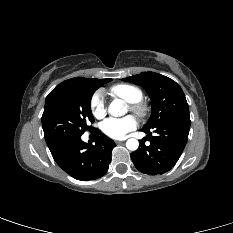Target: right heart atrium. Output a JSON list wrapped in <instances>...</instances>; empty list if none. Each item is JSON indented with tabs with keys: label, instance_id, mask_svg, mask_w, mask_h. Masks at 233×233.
<instances>
[{
	"label": "right heart atrium",
	"instance_id": "obj_1",
	"mask_svg": "<svg viewBox=\"0 0 233 233\" xmlns=\"http://www.w3.org/2000/svg\"><path fill=\"white\" fill-rule=\"evenodd\" d=\"M90 109L95 118L101 119L106 115V101L101 91L95 92L91 97Z\"/></svg>",
	"mask_w": 233,
	"mask_h": 233
}]
</instances>
